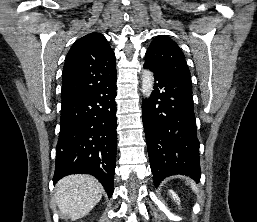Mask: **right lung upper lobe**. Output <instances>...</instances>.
I'll return each mask as SVG.
<instances>
[{"label": "right lung upper lobe", "mask_w": 257, "mask_h": 222, "mask_svg": "<svg viewBox=\"0 0 257 222\" xmlns=\"http://www.w3.org/2000/svg\"><path fill=\"white\" fill-rule=\"evenodd\" d=\"M115 72V54L102 34L93 32L78 39L64 63L62 104L91 91Z\"/></svg>", "instance_id": "cb5924a9"}]
</instances>
